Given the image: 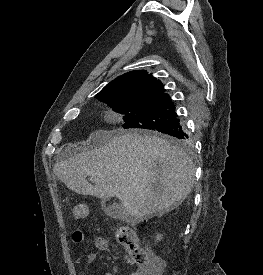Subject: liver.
<instances>
[{
	"mask_svg": "<svg viewBox=\"0 0 263 275\" xmlns=\"http://www.w3.org/2000/svg\"><path fill=\"white\" fill-rule=\"evenodd\" d=\"M85 144L88 150L58 161L54 174L77 194L118 198L128 222L162 216L193 188L192 161L184 150L159 136L97 130Z\"/></svg>",
	"mask_w": 263,
	"mask_h": 275,
	"instance_id": "liver-1",
	"label": "liver"
}]
</instances>
